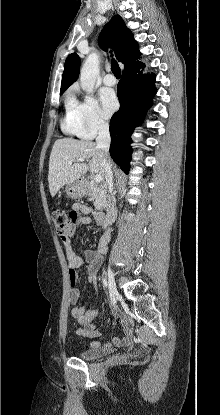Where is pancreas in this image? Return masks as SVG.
Wrapping results in <instances>:
<instances>
[{
    "mask_svg": "<svg viewBox=\"0 0 220 415\" xmlns=\"http://www.w3.org/2000/svg\"><path fill=\"white\" fill-rule=\"evenodd\" d=\"M88 197L98 210L107 206L108 194L105 187H98L95 183L88 184Z\"/></svg>",
    "mask_w": 220,
    "mask_h": 415,
    "instance_id": "obj_1",
    "label": "pancreas"
}]
</instances>
